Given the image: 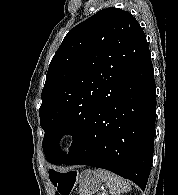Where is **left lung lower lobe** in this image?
I'll return each mask as SVG.
<instances>
[{
  "label": "left lung lower lobe",
  "instance_id": "1",
  "mask_svg": "<svg viewBox=\"0 0 178 195\" xmlns=\"http://www.w3.org/2000/svg\"><path fill=\"white\" fill-rule=\"evenodd\" d=\"M155 91L149 55L99 105L82 137L58 164L103 168L144 190L153 158Z\"/></svg>",
  "mask_w": 178,
  "mask_h": 195
}]
</instances>
